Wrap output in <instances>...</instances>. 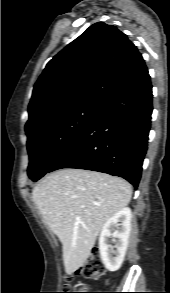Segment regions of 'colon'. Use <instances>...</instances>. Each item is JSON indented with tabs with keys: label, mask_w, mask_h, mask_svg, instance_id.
Instances as JSON below:
<instances>
[{
	"label": "colon",
	"mask_w": 170,
	"mask_h": 293,
	"mask_svg": "<svg viewBox=\"0 0 170 293\" xmlns=\"http://www.w3.org/2000/svg\"><path fill=\"white\" fill-rule=\"evenodd\" d=\"M78 275L83 276L87 279H98L102 274V261L101 255L98 249L92 250L84 266L77 272ZM75 291L70 293H96V292H84L86 287L77 286L74 288Z\"/></svg>",
	"instance_id": "obj_1"
}]
</instances>
